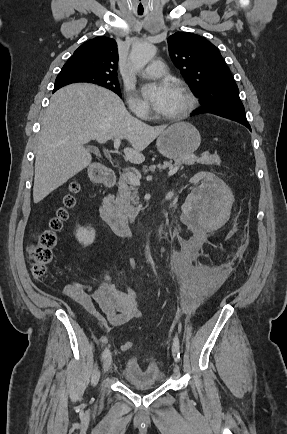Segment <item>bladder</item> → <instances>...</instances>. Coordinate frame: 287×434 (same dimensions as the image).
<instances>
[{
	"instance_id": "obj_1",
	"label": "bladder",
	"mask_w": 287,
	"mask_h": 434,
	"mask_svg": "<svg viewBox=\"0 0 287 434\" xmlns=\"http://www.w3.org/2000/svg\"><path fill=\"white\" fill-rule=\"evenodd\" d=\"M122 381L131 387H154L163 381V373L155 361L140 364L135 358L130 359L120 372Z\"/></svg>"
}]
</instances>
